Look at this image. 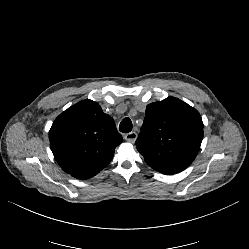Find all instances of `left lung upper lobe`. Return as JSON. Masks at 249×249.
<instances>
[{"mask_svg":"<svg viewBox=\"0 0 249 249\" xmlns=\"http://www.w3.org/2000/svg\"><path fill=\"white\" fill-rule=\"evenodd\" d=\"M136 140L146 163L161 173H178L195 159L203 139L199 112L178 98L168 97L146 108Z\"/></svg>","mask_w":249,"mask_h":249,"instance_id":"1","label":"left lung upper lobe"}]
</instances>
